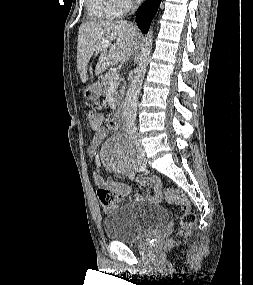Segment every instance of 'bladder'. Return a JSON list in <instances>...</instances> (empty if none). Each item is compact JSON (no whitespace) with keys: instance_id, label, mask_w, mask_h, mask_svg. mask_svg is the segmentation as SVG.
<instances>
[{"instance_id":"bladder-1","label":"bladder","mask_w":253,"mask_h":285,"mask_svg":"<svg viewBox=\"0 0 253 285\" xmlns=\"http://www.w3.org/2000/svg\"><path fill=\"white\" fill-rule=\"evenodd\" d=\"M168 214L163 207L130 202L114 206L103 221L104 235L122 243H132L165 224Z\"/></svg>"}]
</instances>
